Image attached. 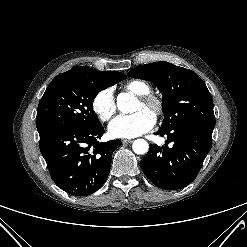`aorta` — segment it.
<instances>
[{"mask_svg": "<svg viewBox=\"0 0 247 247\" xmlns=\"http://www.w3.org/2000/svg\"><path fill=\"white\" fill-rule=\"evenodd\" d=\"M133 97L128 93H120L117 97V107L120 112L126 114L132 111ZM132 149L136 154H145L149 150V145L144 139H137L133 142Z\"/></svg>", "mask_w": 247, "mask_h": 247, "instance_id": "1", "label": "aorta"}]
</instances>
